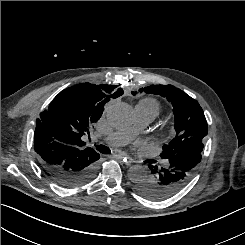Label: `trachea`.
Returning a JSON list of instances; mask_svg holds the SVG:
<instances>
[{
	"instance_id": "1",
	"label": "trachea",
	"mask_w": 245,
	"mask_h": 245,
	"mask_svg": "<svg viewBox=\"0 0 245 245\" xmlns=\"http://www.w3.org/2000/svg\"><path fill=\"white\" fill-rule=\"evenodd\" d=\"M96 149L100 152V153H103V154H110V149L104 145H98L96 146Z\"/></svg>"
}]
</instances>
